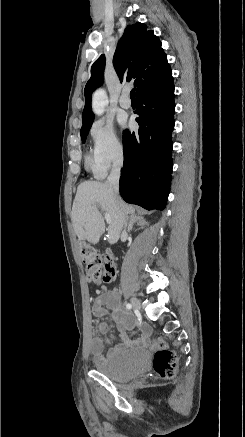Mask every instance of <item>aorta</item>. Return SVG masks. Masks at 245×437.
Returning <instances> with one entry per match:
<instances>
[{
    "label": "aorta",
    "instance_id": "762f6f07",
    "mask_svg": "<svg viewBox=\"0 0 245 437\" xmlns=\"http://www.w3.org/2000/svg\"><path fill=\"white\" fill-rule=\"evenodd\" d=\"M106 104H107L106 92L102 89L97 90L93 94V98H92V107L94 112L97 115H101L104 112Z\"/></svg>",
    "mask_w": 245,
    "mask_h": 437
}]
</instances>
